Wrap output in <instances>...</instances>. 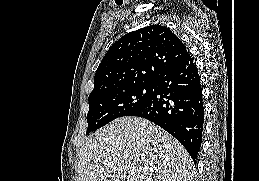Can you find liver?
<instances>
[{
  "label": "liver",
  "instance_id": "6515ba94",
  "mask_svg": "<svg viewBox=\"0 0 259 181\" xmlns=\"http://www.w3.org/2000/svg\"><path fill=\"white\" fill-rule=\"evenodd\" d=\"M193 172L190 155L172 135L146 119L122 117L81 147L77 181H192Z\"/></svg>",
  "mask_w": 259,
  "mask_h": 181
}]
</instances>
